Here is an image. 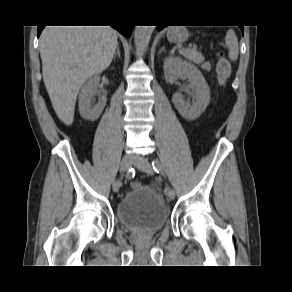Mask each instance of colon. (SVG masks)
<instances>
[{"mask_svg": "<svg viewBox=\"0 0 292 292\" xmlns=\"http://www.w3.org/2000/svg\"><path fill=\"white\" fill-rule=\"evenodd\" d=\"M216 70H217L218 82L220 86H224L231 75V64L222 53L218 55ZM139 186H141V184L138 181H133L131 183V188L133 189L138 188Z\"/></svg>", "mask_w": 292, "mask_h": 292, "instance_id": "obj_1", "label": "colon"}]
</instances>
